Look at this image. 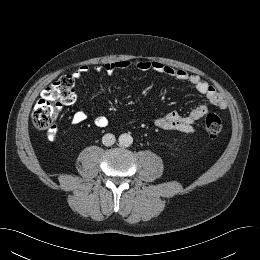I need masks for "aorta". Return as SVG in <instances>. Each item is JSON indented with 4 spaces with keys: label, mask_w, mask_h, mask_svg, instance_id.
Segmentation results:
<instances>
[{
    "label": "aorta",
    "mask_w": 260,
    "mask_h": 260,
    "mask_svg": "<svg viewBox=\"0 0 260 260\" xmlns=\"http://www.w3.org/2000/svg\"><path fill=\"white\" fill-rule=\"evenodd\" d=\"M119 145L122 147H129L133 143V138L130 134H121L118 138Z\"/></svg>",
    "instance_id": "aorta-1"
}]
</instances>
